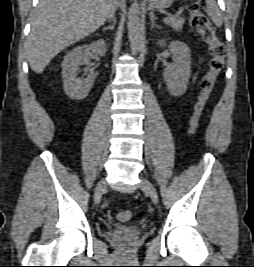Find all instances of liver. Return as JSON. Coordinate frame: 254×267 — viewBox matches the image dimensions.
I'll return each mask as SVG.
<instances>
[{
    "instance_id": "obj_1",
    "label": "liver",
    "mask_w": 254,
    "mask_h": 267,
    "mask_svg": "<svg viewBox=\"0 0 254 267\" xmlns=\"http://www.w3.org/2000/svg\"><path fill=\"white\" fill-rule=\"evenodd\" d=\"M114 1L39 0L31 14L27 40V57L32 71L41 74L58 53L99 29L109 16ZM123 5L118 1V6Z\"/></svg>"
}]
</instances>
